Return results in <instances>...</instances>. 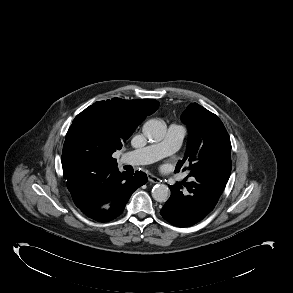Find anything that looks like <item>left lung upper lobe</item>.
Instances as JSON below:
<instances>
[{
  "label": "left lung upper lobe",
  "mask_w": 293,
  "mask_h": 293,
  "mask_svg": "<svg viewBox=\"0 0 293 293\" xmlns=\"http://www.w3.org/2000/svg\"><path fill=\"white\" fill-rule=\"evenodd\" d=\"M181 120L188 125L189 140L185 157L177 163L176 169L180 170L188 161L190 176L206 175L228 181L231 142L221 120L197 103L186 108Z\"/></svg>",
  "instance_id": "5c2ea615"
}]
</instances>
